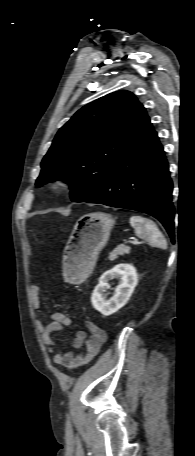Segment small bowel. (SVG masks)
Segmentation results:
<instances>
[{
	"label": "small bowel",
	"mask_w": 195,
	"mask_h": 456,
	"mask_svg": "<svg viewBox=\"0 0 195 456\" xmlns=\"http://www.w3.org/2000/svg\"><path fill=\"white\" fill-rule=\"evenodd\" d=\"M30 300L35 309L41 307L40 287L38 285H32L30 287ZM70 324V318L60 311L52 313L47 321L38 323L43 342L50 353L57 347V342L52 338L51 334L55 331L64 330ZM86 328L87 332H77L72 343L73 348L75 350H80V352L59 351L55 354L53 359L55 364L67 369H75L87 364L98 354L105 342V333L93 321H88L86 323Z\"/></svg>",
	"instance_id": "c3829d8e"
}]
</instances>
